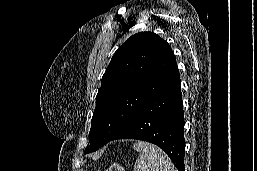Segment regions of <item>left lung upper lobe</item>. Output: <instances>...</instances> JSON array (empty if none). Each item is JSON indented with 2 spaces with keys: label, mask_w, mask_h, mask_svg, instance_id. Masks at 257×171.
Masks as SVG:
<instances>
[{
  "label": "left lung upper lobe",
  "mask_w": 257,
  "mask_h": 171,
  "mask_svg": "<svg viewBox=\"0 0 257 171\" xmlns=\"http://www.w3.org/2000/svg\"><path fill=\"white\" fill-rule=\"evenodd\" d=\"M175 62L170 45L153 32L136 33L117 49L96 96L85 153L108 143L132 121Z\"/></svg>",
  "instance_id": "obj_1"
}]
</instances>
